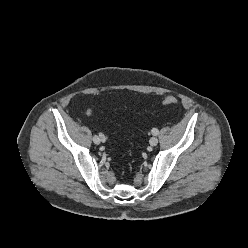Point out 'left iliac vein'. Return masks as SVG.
<instances>
[{
	"mask_svg": "<svg viewBox=\"0 0 248 248\" xmlns=\"http://www.w3.org/2000/svg\"><path fill=\"white\" fill-rule=\"evenodd\" d=\"M149 143L151 146H156L158 144V138L155 136L151 137Z\"/></svg>",
	"mask_w": 248,
	"mask_h": 248,
	"instance_id": "obj_1",
	"label": "left iliac vein"
}]
</instances>
